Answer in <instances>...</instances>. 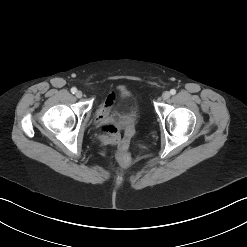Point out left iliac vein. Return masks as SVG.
<instances>
[{"instance_id":"left-iliac-vein-1","label":"left iliac vein","mask_w":247,"mask_h":247,"mask_svg":"<svg viewBox=\"0 0 247 247\" xmlns=\"http://www.w3.org/2000/svg\"><path fill=\"white\" fill-rule=\"evenodd\" d=\"M170 98V92L168 91H165L163 94H162V99L163 100H167Z\"/></svg>"}]
</instances>
